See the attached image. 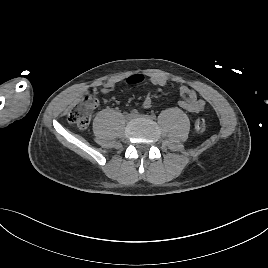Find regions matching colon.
Instances as JSON below:
<instances>
[{
  "instance_id": "5ec220e1",
  "label": "colon",
  "mask_w": 268,
  "mask_h": 268,
  "mask_svg": "<svg viewBox=\"0 0 268 268\" xmlns=\"http://www.w3.org/2000/svg\"><path fill=\"white\" fill-rule=\"evenodd\" d=\"M98 105V99L94 92H87L82 100L72 106L67 111V119L71 124H74L79 129H85L88 127L92 113ZM194 130L197 133H203L206 130V123L204 119H197L194 122Z\"/></svg>"
}]
</instances>
